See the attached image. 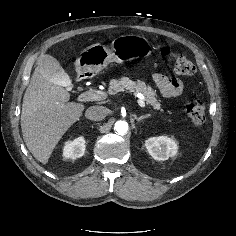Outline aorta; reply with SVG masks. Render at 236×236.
<instances>
[{
    "instance_id": "762f6f07",
    "label": "aorta",
    "mask_w": 236,
    "mask_h": 236,
    "mask_svg": "<svg viewBox=\"0 0 236 236\" xmlns=\"http://www.w3.org/2000/svg\"><path fill=\"white\" fill-rule=\"evenodd\" d=\"M114 130L120 134L123 135L127 133L128 131V123L122 120H119L115 123Z\"/></svg>"
}]
</instances>
